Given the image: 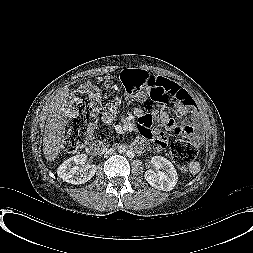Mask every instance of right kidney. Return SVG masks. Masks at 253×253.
<instances>
[{
  "mask_svg": "<svg viewBox=\"0 0 253 253\" xmlns=\"http://www.w3.org/2000/svg\"><path fill=\"white\" fill-rule=\"evenodd\" d=\"M87 155L79 154L65 160L57 170L58 176L71 184H83L96 173V165L86 164Z\"/></svg>",
  "mask_w": 253,
  "mask_h": 253,
  "instance_id": "obj_1",
  "label": "right kidney"
}]
</instances>
